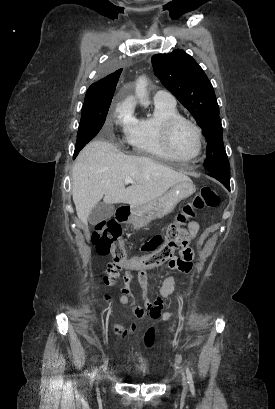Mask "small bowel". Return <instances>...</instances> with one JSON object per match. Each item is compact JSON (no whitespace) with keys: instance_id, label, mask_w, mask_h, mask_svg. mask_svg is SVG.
I'll list each match as a JSON object with an SVG mask.
<instances>
[{"instance_id":"c3829d8e","label":"small bowel","mask_w":275,"mask_h":409,"mask_svg":"<svg viewBox=\"0 0 275 409\" xmlns=\"http://www.w3.org/2000/svg\"><path fill=\"white\" fill-rule=\"evenodd\" d=\"M199 230H200V227L197 222H192L189 225L187 229V238H188L189 243H193L197 240ZM193 256H194L193 249L190 246L184 247L180 251L179 256L176 257L175 259H172L173 261L169 264V267L173 270H176L182 273H189L191 272L193 268V263H192ZM117 275H118V278L122 280L120 282V287L124 288L123 294L120 297V301L123 304L129 305L132 308L135 317L138 320H145L148 318H152V319L159 318L160 313L162 311V308H161L162 298L168 297L173 293L175 281L172 278H166L162 282L159 288L161 297L155 300L153 306L148 307V308L147 307L143 308L141 305L137 303L136 299L133 297V295L128 289V284L130 283L131 280L134 279L133 273H121V270L119 268H110L109 273L107 274V277L102 278V283L108 289L115 286L116 283L118 282ZM139 278H140V282L142 285L147 284V276L145 272L139 273ZM169 316H170L169 314H164V318H169ZM131 325L133 327H136L138 325V322L136 320H133L131 322ZM114 329L120 330L121 324L115 323ZM146 332L147 333L144 335V341L142 343L144 345H148V344L153 345L154 343L157 345L159 342L157 340L154 342V340L156 339V336L154 334H151L153 332V327L147 326ZM128 334H131V333H128ZM117 335L121 336L122 332L118 331Z\"/></svg>"}]
</instances>
